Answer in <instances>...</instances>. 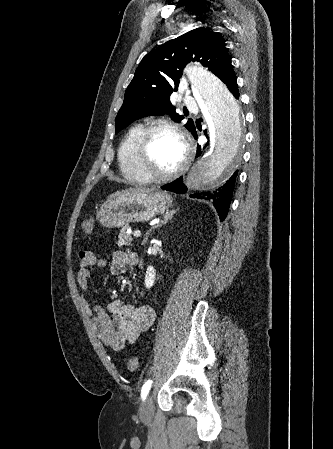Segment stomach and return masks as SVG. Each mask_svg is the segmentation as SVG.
I'll return each instance as SVG.
<instances>
[{"label":"stomach","mask_w":333,"mask_h":449,"mask_svg":"<svg viewBox=\"0 0 333 449\" xmlns=\"http://www.w3.org/2000/svg\"><path fill=\"white\" fill-rule=\"evenodd\" d=\"M172 198L165 192H127L104 202L97 220L103 227L120 228L131 222H146L165 213Z\"/></svg>","instance_id":"obj_1"}]
</instances>
